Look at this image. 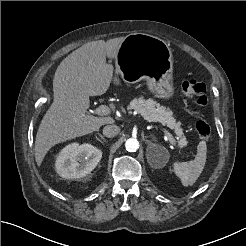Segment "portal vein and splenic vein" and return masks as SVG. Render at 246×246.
Wrapping results in <instances>:
<instances>
[{
	"label": "portal vein and splenic vein",
	"instance_id": "obj_1",
	"mask_svg": "<svg viewBox=\"0 0 246 246\" xmlns=\"http://www.w3.org/2000/svg\"><path fill=\"white\" fill-rule=\"evenodd\" d=\"M95 112L98 115L106 116L111 114V109L107 105H101L95 110ZM176 130H177V134H182V129H176ZM166 134L168 135L170 143L177 148L176 140L174 139V137L168 132H166Z\"/></svg>",
	"mask_w": 246,
	"mask_h": 246
}]
</instances>
